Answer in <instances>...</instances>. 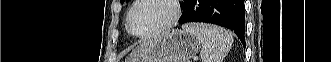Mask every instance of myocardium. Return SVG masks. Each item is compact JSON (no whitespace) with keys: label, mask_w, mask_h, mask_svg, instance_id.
<instances>
[{"label":"myocardium","mask_w":331,"mask_h":62,"mask_svg":"<svg viewBox=\"0 0 331 62\" xmlns=\"http://www.w3.org/2000/svg\"><path fill=\"white\" fill-rule=\"evenodd\" d=\"M145 0H136L134 1V3L132 4L131 8L129 9L128 13H127V18H126V26H127V30L128 32L137 38H150L152 36H155L157 34H160L168 29H170L172 26H174L176 24V22L179 20L180 16H181V6H180V2L177 0H166L172 7L173 9V14L172 16L169 18L168 21H166L163 25H161L160 27L143 33V34H138L136 33L133 28H132V14L134 12V10L136 9V7Z\"/></svg>","instance_id":"1"}]
</instances>
